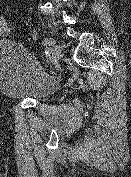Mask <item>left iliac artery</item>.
Masks as SVG:
<instances>
[{
  "label": "left iliac artery",
  "mask_w": 131,
  "mask_h": 177,
  "mask_svg": "<svg viewBox=\"0 0 131 177\" xmlns=\"http://www.w3.org/2000/svg\"><path fill=\"white\" fill-rule=\"evenodd\" d=\"M54 42L51 39H44L42 41V45L45 47V56H46V62L52 63L53 59L51 58L52 53L50 52L49 46H51Z\"/></svg>",
  "instance_id": "1"
}]
</instances>
